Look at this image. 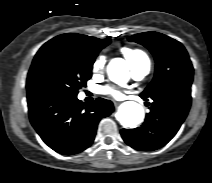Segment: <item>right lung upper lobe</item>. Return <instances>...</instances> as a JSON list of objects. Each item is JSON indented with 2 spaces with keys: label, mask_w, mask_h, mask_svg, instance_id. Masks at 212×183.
Returning a JSON list of instances; mask_svg holds the SVG:
<instances>
[{
  "label": "right lung upper lobe",
  "mask_w": 212,
  "mask_h": 183,
  "mask_svg": "<svg viewBox=\"0 0 212 183\" xmlns=\"http://www.w3.org/2000/svg\"><path fill=\"white\" fill-rule=\"evenodd\" d=\"M110 41L107 39H98L86 35L66 33L59 35L48 42H65L73 46L84 48H95L97 45Z\"/></svg>",
  "instance_id": "1"
}]
</instances>
